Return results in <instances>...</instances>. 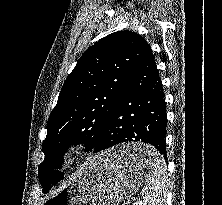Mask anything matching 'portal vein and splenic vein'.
Segmentation results:
<instances>
[{"label": "portal vein and splenic vein", "mask_w": 222, "mask_h": 205, "mask_svg": "<svg viewBox=\"0 0 222 205\" xmlns=\"http://www.w3.org/2000/svg\"><path fill=\"white\" fill-rule=\"evenodd\" d=\"M133 201H134V205H137L138 200L137 199H133Z\"/></svg>", "instance_id": "portal-vein-and-splenic-vein-1"}]
</instances>
